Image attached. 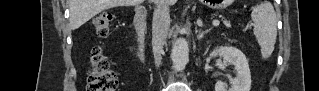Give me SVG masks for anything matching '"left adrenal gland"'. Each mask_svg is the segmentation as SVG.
Segmentation results:
<instances>
[{"label":"left adrenal gland","instance_id":"left-adrenal-gland-1","mask_svg":"<svg viewBox=\"0 0 319 91\" xmlns=\"http://www.w3.org/2000/svg\"><path fill=\"white\" fill-rule=\"evenodd\" d=\"M210 31V29H207L205 31L199 30L198 34H197V39L200 40L204 37L205 34H207Z\"/></svg>","mask_w":319,"mask_h":91}]
</instances>
